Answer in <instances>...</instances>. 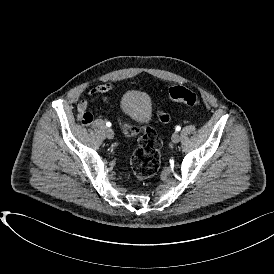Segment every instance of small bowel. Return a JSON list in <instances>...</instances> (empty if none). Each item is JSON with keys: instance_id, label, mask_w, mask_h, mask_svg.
<instances>
[{"instance_id": "1", "label": "small bowel", "mask_w": 274, "mask_h": 274, "mask_svg": "<svg viewBox=\"0 0 274 274\" xmlns=\"http://www.w3.org/2000/svg\"><path fill=\"white\" fill-rule=\"evenodd\" d=\"M117 90L118 87L111 82L98 84L93 87L89 91V100H81L77 104V120L83 125H90L94 119L93 114L88 110L90 102L102 99L105 103H108V99L105 97V94Z\"/></svg>"}]
</instances>
